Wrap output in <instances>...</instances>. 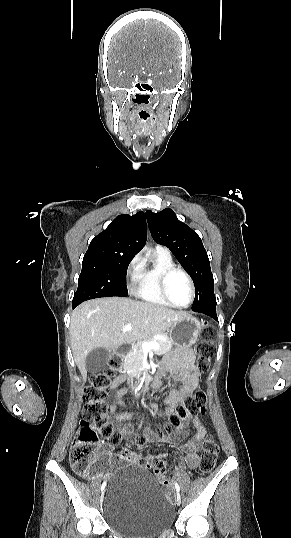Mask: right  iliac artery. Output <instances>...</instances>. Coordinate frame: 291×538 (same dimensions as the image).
I'll use <instances>...</instances> for the list:
<instances>
[{
  "instance_id": "right-iliac-artery-1",
  "label": "right iliac artery",
  "mask_w": 291,
  "mask_h": 538,
  "mask_svg": "<svg viewBox=\"0 0 291 538\" xmlns=\"http://www.w3.org/2000/svg\"><path fill=\"white\" fill-rule=\"evenodd\" d=\"M139 427H141V425H140ZM105 486H106V481H104V482L102 483L101 491H103V490L105 489Z\"/></svg>"
}]
</instances>
